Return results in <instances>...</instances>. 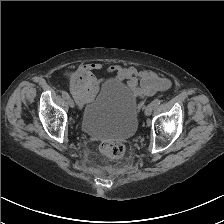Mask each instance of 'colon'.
Returning a JSON list of instances; mask_svg holds the SVG:
<instances>
[{
    "label": "colon",
    "mask_w": 224,
    "mask_h": 224,
    "mask_svg": "<svg viewBox=\"0 0 224 224\" xmlns=\"http://www.w3.org/2000/svg\"><path fill=\"white\" fill-rule=\"evenodd\" d=\"M70 90L81 102L94 98L98 91V83L92 71L83 67L77 69L71 78ZM100 151L109 158H119L124 154L125 148L119 141L105 140L100 144Z\"/></svg>",
    "instance_id": "colon-1"
}]
</instances>
